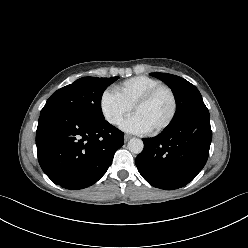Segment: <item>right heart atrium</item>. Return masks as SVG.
<instances>
[{
    "mask_svg": "<svg viewBox=\"0 0 248 248\" xmlns=\"http://www.w3.org/2000/svg\"><path fill=\"white\" fill-rule=\"evenodd\" d=\"M99 105L104 119L113 126L119 125L131 111V107L110 89L102 92Z\"/></svg>",
    "mask_w": 248,
    "mask_h": 248,
    "instance_id": "d8ad5b80",
    "label": "right heart atrium"
}]
</instances>
